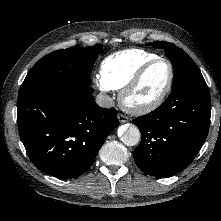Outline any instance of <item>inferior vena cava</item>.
<instances>
[{
  "instance_id": "obj_1",
  "label": "inferior vena cava",
  "mask_w": 221,
  "mask_h": 221,
  "mask_svg": "<svg viewBox=\"0 0 221 221\" xmlns=\"http://www.w3.org/2000/svg\"><path fill=\"white\" fill-rule=\"evenodd\" d=\"M96 103L104 108H110L114 105L113 99L105 94H99L96 97Z\"/></svg>"
}]
</instances>
